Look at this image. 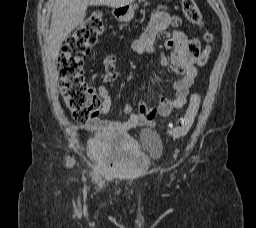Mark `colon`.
Returning a JSON list of instances; mask_svg holds the SVG:
<instances>
[{"label":"colon","instance_id":"colon-1","mask_svg":"<svg viewBox=\"0 0 256 228\" xmlns=\"http://www.w3.org/2000/svg\"><path fill=\"white\" fill-rule=\"evenodd\" d=\"M182 11L186 19L196 26L203 25V17L195 0H182ZM103 31V18L100 12L91 13L78 29L67 38L57 60L59 87L64 104L72 118L85 122L99 111L101 102L98 96L87 85L83 74V60L96 43ZM207 42L212 40L209 32L204 34ZM207 47L197 58L198 65H204L210 58ZM200 106V96L193 94L185 113L169 128V134L181 138L188 134L194 124Z\"/></svg>","mask_w":256,"mask_h":228}]
</instances>
